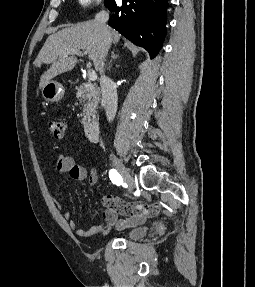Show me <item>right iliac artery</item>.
<instances>
[{"label":"right iliac artery","mask_w":255,"mask_h":287,"mask_svg":"<svg viewBox=\"0 0 255 287\" xmlns=\"http://www.w3.org/2000/svg\"><path fill=\"white\" fill-rule=\"evenodd\" d=\"M109 177L113 184H116L117 186H120L123 184L122 177L115 169H111L109 171Z\"/></svg>","instance_id":"right-iliac-artery-1"}]
</instances>
